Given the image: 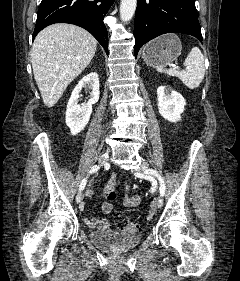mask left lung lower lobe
Returning <instances> with one entry per match:
<instances>
[{"label":"left lung lower lobe","mask_w":240,"mask_h":281,"mask_svg":"<svg viewBox=\"0 0 240 281\" xmlns=\"http://www.w3.org/2000/svg\"><path fill=\"white\" fill-rule=\"evenodd\" d=\"M170 32L189 34L202 42L195 0H137L135 57L143 44Z\"/></svg>","instance_id":"obj_1"}]
</instances>
